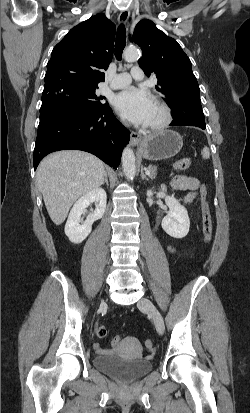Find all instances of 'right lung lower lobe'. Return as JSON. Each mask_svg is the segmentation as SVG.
Here are the masks:
<instances>
[{"mask_svg": "<svg viewBox=\"0 0 250 413\" xmlns=\"http://www.w3.org/2000/svg\"><path fill=\"white\" fill-rule=\"evenodd\" d=\"M130 132L116 119L112 109L55 104L40 112L33 163L58 150L90 152L113 168L120 164Z\"/></svg>", "mask_w": 250, "mask_h": 413, "instance_id": "98d812e1", "label": "right lung lower lobe"}]
</instances>
